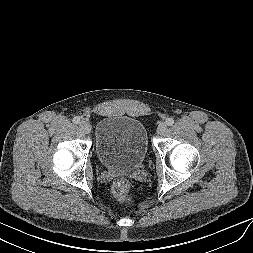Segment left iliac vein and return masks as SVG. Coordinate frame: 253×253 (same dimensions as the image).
<instances>
[{"label":"left iliac vein","mask_w":253,"mask_h":253,"mask_svg":"<svg viewBox=\"0 0 253 253\" xmlns=\"http://www.w3.org/2000/svg\"><path fill=\"white\" fill-rule=\"evenodd\" d=\"M166 130H167V124L162 122L157 127V134L163 135L166 132Z\"/></svg>","instance_id":"left-iliac-vein-1"}]
</instances>
